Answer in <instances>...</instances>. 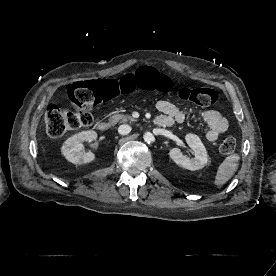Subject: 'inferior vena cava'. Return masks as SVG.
<instances>
[{
	"label": "inferior vena cava",
	"mask_w": 276,
	"mask_h": 276,
	"mask_svg": "<svg viewBox=\"0 0 276 276\" xmlns=\"http://www.w3.org/2000/svg\"><path fill=\"white\" fill-rule=\"evenodd\" d=\"M130 131H131V127L127 124L121 125L118 128V132L121 135H127L128 133H130Z\"/></svg>",
	"instance_id": "obj_1"
}]
</instances>
